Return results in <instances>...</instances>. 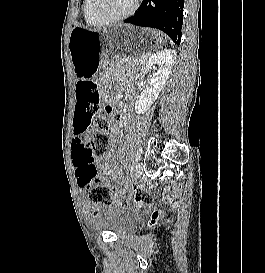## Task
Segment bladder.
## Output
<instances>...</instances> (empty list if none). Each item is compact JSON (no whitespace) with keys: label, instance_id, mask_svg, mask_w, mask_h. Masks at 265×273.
I'll return each mask as SVG.
<instances>
[{"label":"bladder","instance_id":"obj_1","mask_svg":"<svg viewBox=\"0 0 265 273\" xmlns=\"http://www.w3.org/2000/svg\"><path fill=\"white\" fill-rule=\"evenodd\" d=\"M91 219L93 227L110 231L117 237L132 233L137 227V216L129 207L114 208Z\"/></svg>","mask_w":265,"mask_h":273}]
</instances>
